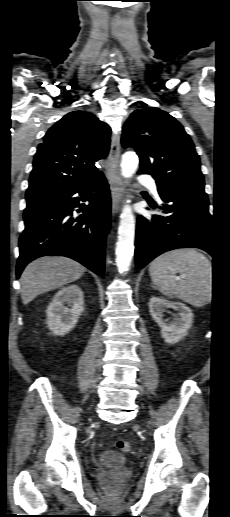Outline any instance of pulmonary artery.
<instances>
[{"instance_id": "pulmonary-artery-1", "label": "pulmonary artery", "mask_w": 230, "mask_h": 517, "mask_svg": "<svg viewBox=\"0 0 230 517\" xmlns=\"http://www.w3.org/2000/svg\"><path fill=\"white\" fill-rule=\"evenodd\" d=\"M138 181L141 184L147 185L150 188L151 193L157 199H160L159 194H158V190H157L156 182H155V180L151 176H149V175H141V176H139Z\"/></svg>"}]
</instances>
